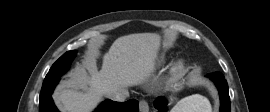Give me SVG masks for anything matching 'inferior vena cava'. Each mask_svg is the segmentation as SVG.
I'll return each mask as SVG.
<instances>
[{"label": "inferior vena cava", "instance_id": "inferior-vena-cava-1", "mask_svg": "<svg viewBox=\"0 0 270 112\" xmlns=\"http://www.w3.org/2000/svg\"><path fill=\"white\" fill-rule=\"evenodd\" d=\"M128 96H129L128 90L124 89V90L117 91V92L110 94L109 98L114 100V101L123 102L126 100V98Z\"/></svg>", "mask_w": 270, "mask_h": 112}]
</instances>
